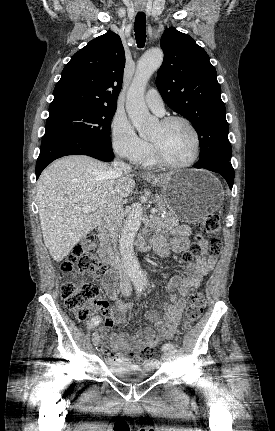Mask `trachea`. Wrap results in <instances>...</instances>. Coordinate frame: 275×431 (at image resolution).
<instances>
[{"instance_id":"trachea-1","label":"trachea","mask_w":275,"mask_h":431,"mask_svg":"<svg viewBox=\"0 0 275 431\" xmlns=\"http://www.w3.org/2000/svg\"><path fill=\"white\" fill-rule=\"evenodd\" d=\"M134 32L137 46L143 48L146 42V16L143 12H138L134 23Z\"/></svg>"}]
</instances>
